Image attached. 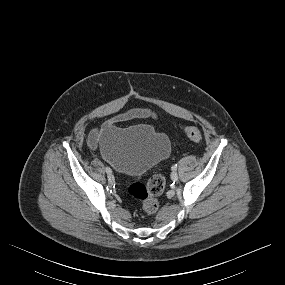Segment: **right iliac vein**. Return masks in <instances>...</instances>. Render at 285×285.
Returning a JSON list of instances; mask_svg holds the SVG:
<instances>
[{"label": "right iliac vein", "mask_w": 285, "mask_h": 285, "mask_svg": "<svg viewBox=\"0 0 285 285\" xmlns=\"http://www.w3.org/2000/svg\"><path fill=\"white\" fill-rule=\"evenodd\" d=\"M108 181L109 182H113L114 181V176L111 173L108 174Z\"/></svg>", "instance_id": "63e3f726"}]
</instances>
